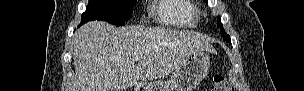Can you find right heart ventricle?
Listing matches in <instances>:
<instances>
[{
  "label": "right heart ventricle",
  "instance_id": "right-heart-ventricle-1",
  "mask_svg": "<svg viewBox=\"0 0 304 91\" xmlns=\"http://www.w3.org/2000/svg\"><path fill=\"white\" fill-rule=\"evenodd\" d=\"M158 21L175 27H195L198 10L188 0H161L154 9Z\"/></svg>",
  "mask_w": 304,
  "mask_h": 91
}]
</instances>
